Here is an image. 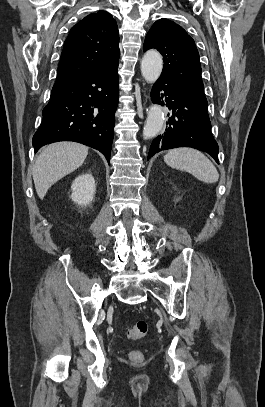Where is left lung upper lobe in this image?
I'll return each mask as SVG.
<instances>
[{"instance_id": "5c2ea615", "label": "left lung upper lobe", "mask_w": 265, "mask_h": 407, "mask_svg": "<svg viewBox=\"0 0 265 407\" xmlns=\"http://www.w3.org/2000/svg\"><path fill=\"white\" fill-rule=\"evenodd\" d=\"M155 48L163 56V77L182 87L198 101L207 104L201 78L199 53L186 31L167 19L156 21L146 35L144 51Z\"/></svg>"}]
</instances>
